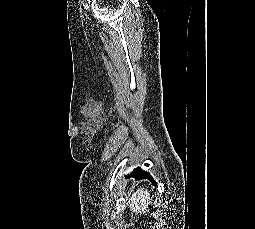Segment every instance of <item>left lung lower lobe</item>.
<instances>
[{
  "label": "left lung lower lobe",
  "instance_id": "1",
  "mask_svg": "<svg viewBox=\"0 0 255 229\" xmlns=\"http://www.w3.org/2000/svg\"><path fill=\"white\" fill-rule=\"evenodd\" d=\"M129 177H135L137 180H141V179H150L152 180L151 176L149 173H147L146 171L142 170L141 168H136L130 175L127 176ZM152 182H154L152 180ZM154 184H156L154 182Z\"/></svg>",
  "mask_w": 255,
  "mask_h": 229
}]
</instances>
